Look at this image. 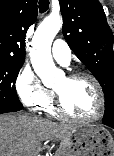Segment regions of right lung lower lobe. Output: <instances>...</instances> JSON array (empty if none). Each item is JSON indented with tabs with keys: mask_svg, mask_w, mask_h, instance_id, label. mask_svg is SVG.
<instances>
[{
	"mask_svg": "<svg viewBox=\"0 0 114 156\" xmlns=\"http://www.w3.org/2000/svg\"><path fill=\"white\" fill-rule=\"evenodd\" d=\"M21 110L20 108H12L7 106H0V114L7 113V112H16Z\"/></svg>",
	"mask_w": 114,
	"mask_h": 156,
	"instance_id": "1",
	"label": "right lung lower lobe"
}]
</instances>
